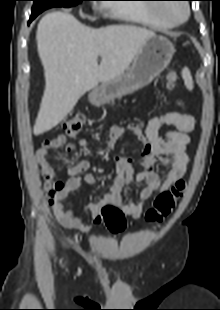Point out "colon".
I'll return each mask as SVG.
<instances>
[{"instance_id":"1","label":"colon","mask_w":220,"mask_h":310,"mask_svg":"<svg viewBox=\"0 0 220 310\" xmlns=\"http://www.w3.org/2000/svg\"><path fill=\"white\" fill-rule=\"evenodd\" d=\"M165 82L168 88L173 89L179 82L177 71L169 69L165 73ZM86 119L83 114H73L68 116L63 122V128L66 134L77 135L85 126ZM64 183L54 176L46 175L45 192L49 197L50 204H54V198L63 189ZM186 184L180 179L174 183L169 189L160 192L154 199L153 206L149 208L145 214V219L150 224H159L167 219L177 202L182 197ZM101 216L104 223L112 233H119L124 230L126 222L125 215L122 210L113 204H107L101 209Z\"/></svg>"}]
</instances>
